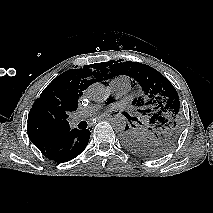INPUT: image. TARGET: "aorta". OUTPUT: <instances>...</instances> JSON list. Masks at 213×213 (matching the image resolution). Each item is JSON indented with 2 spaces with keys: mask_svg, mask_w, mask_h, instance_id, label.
Wrapping results in <instances>:
<instances>
[{
  "mask_svg": "<svg viewBox=\"0 0 213 213\" xmlns=\"http://www.w3.org/2000/svg\"><path fill=\"white\" fill-rule=\"evenodd\" d=\"M109 93V89L102 83H94L87 89L88 96L97 102L106 100L109 97ZM112 127L118 132L124 131L126 119L121 116L114 118Z\"/></svg>",
  "mask_w": 213,
  "mask_h": 213,
  "instance_id": "1",
  "label": "aorta"
}]
</instances>
